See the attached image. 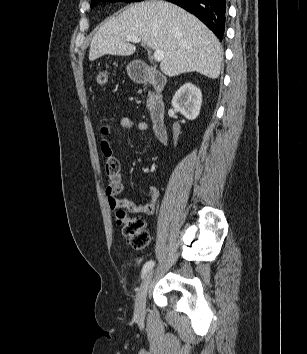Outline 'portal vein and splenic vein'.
Segmentation results:
<instances>
[{
  "instance_id": "obj_1",
  "label": "portal vein and splenic vein",
  "mask_w": 307,
  "mask_h": 354,
  "mask_svg": "<svg viewBox=\"0 0 307 354\" xmlns=\"http://www.w3.org/2000/svg\"><path fill=\"white\" fill-rule=\"evenodd\" d=\"M125 40L132 42V43H139L141 41L138 37H135V36H127ZM153 58L157 62L161 61L164 58V51L163 50H156L153 53Z\"/></svg>"
}]
</instances>
